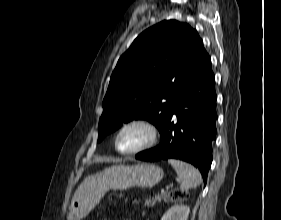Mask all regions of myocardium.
Returning <instances> with one entry per match:
<instances>
[{
  "instance_id": "obj_1",
  "label": "myocardium",
  "mask_w": 281,
  "mask_h": 220,
  "mask_svg": "<svg viewBox=\"0 0 281 220\" xmlns=\"http://www.w3.org/2000/svg\"><path fill=\"white\" fill-rule=\"evenodd\" d=\"M133 126H139V127L144 128L148 132V138L139 147L129 150V151H122L118 147V139H119L120 135L126 129L133 127ZM158 140H159V130L153 122H151L148 119H144V118H135V119L125 122L123 125H121L119 127V129L117 130V132L114 136L113 143H114V149L117 153H119L121 155H135V154H138L140 152H143L145 150L152 148L153 146H155L157 144Z\"/></svg>"
}]
</instances>
